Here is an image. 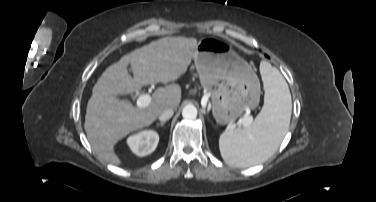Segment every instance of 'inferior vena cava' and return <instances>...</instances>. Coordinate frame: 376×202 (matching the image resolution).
Returning a JSON list of instances; mask_svg holds the SVG:
<instances>
[{"instance_id": "obj_1", "label": "inferior vena cava", "mask_w": 376, "mask_h": 202, "mask_svg": "<svg viewBox=\"0 0 376 202\" xmlns=\"http://www.w3.org/2000/svg\"><path fill=\"white\" fill-rule=\"evenodd\" d=\"M174 114V110L169 108V109H166L164 110L160 115H159V120L161 122H166L167 120H169Z\"/></svg>"}]
</instances>
